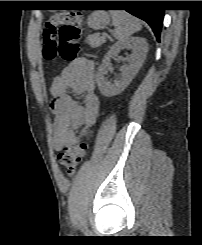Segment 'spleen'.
<instances>
[{"label":"spleen","instance_id":"1","mask_svg":"<svg viewBox=\"0 0 202 245\" xmlns=\"http://www.w3.org/2000/svg\"><path fill=\"white\" fill-rule=\"evenodd\" d=\"M110 14L115 27L114 36L119 41L128 39L142 28L140 22L126 11H110Z\"/></svg>","mask_w":202,"mask_h":245}]
</instances>
